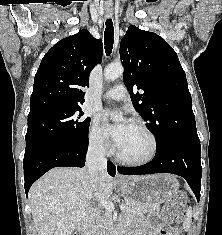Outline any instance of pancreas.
Here are the masks:
<instances>
[{"label":"pancreas","instance_id":"cf45deb5","mask_svg":"<svg viewBox=\"0 0 222 235\" xmlns=\"http://www.w3.org/2000/svg\"><path fill=\"white\" fill-rule=\"evenodd\" d=\"M150 210H159L158 206L140 208L134 206L130 202H126L124 214L128 217L129 220L136 219L138 216L149 212ZM112 226V216L107 213L100 223L99 228L97 229V235H105V230L109 229Z\"/></svg>","mask_w":222,"mask_h":235}]
</instances>
